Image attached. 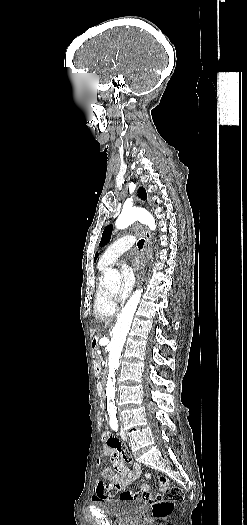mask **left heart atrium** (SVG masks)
I'll return each instance as SVG.
<instances>
[{
    "mask_svg": "<svg viewBox=\"0 0 247 525\" xmlns=\"http://www.w3.org/2000/svg\"><path fill=\"white\" fill-rule=\"evenodd\" d=\"M129 260L131 268L122 272L123 284L119 290L120 299H125L131 292L135 283V273L143 271L147 262L146 256L138 251L131 252L129 254Z\"/></svg>",
    "mask_w": 247,
    "mask_h": 525,
    "instance_id": "39dd6f15",
    "label": "left heart atrium"
}]
</instances>
